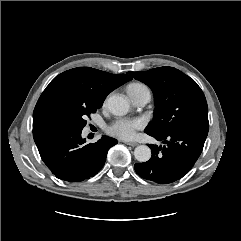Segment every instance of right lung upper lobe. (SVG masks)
Masks as SVG:
<instances>
[{"instance_id": "obj_1", "label": "right lung upper lobe", "mask_w": 241, "mask_h": 241, "mask_svg": "<svg viewBox=\"0 0 241 241\" xmlns=\"http://www.w3.org/2000/svg\"><path fill=\"white\" fill-rule=\"evenodd\" d=\"M131 79L127 74L114 75L90 67L70 69L50 82L35 109L52 99H65L90 106L102 105L111 91Z\"/></svg>"}]
</instances>
